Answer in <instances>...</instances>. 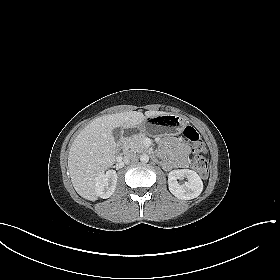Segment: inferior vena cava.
<instances>
[{
    "mask_svg": "<svg viewBox=\"0 0 280 280\" xmlns=\"http://www.w3.org/2000/svg\"><path fill=\"white\" fill-rule=\"evenodd\" d=\"M138 160V155L133 152H128L124 155V162L126 164L131 163V162H136Z\"/></svg>",
    "mask_w": 280,
    "mask_h": 280,
    "instance_id": "1",
    "label": "inferior vena cava"
}]
</instances>
